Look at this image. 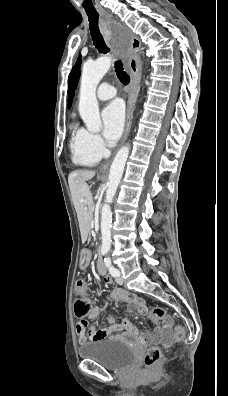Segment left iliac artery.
Masks as SVG:
<instances>
[{"mask_svg":"<svg viewBox=\"0 0 228 396\" xmlns=\"http://www.w3.org/2000/svg\"><path fill=\"white\" fill-rule=\"evenodd\" d=\"M104 262H105L106 267H107L108 270H109V273H110L113 277H118V276L120 275L119 270H118L117 268H115V267L112 265V262H111L110 257L105 258V259H104Z\"/></svg>","mask_w":228,"mask_h":396,"instance_id":"obj_1","label":"left iliac artery"}]
</instances>
